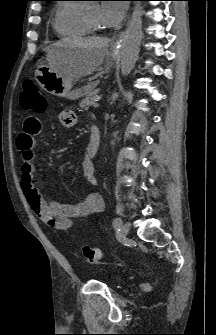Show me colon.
<instances>
[{"instance_id": "5ec220e1", "label": "colon", "mask_w": 216, "mask_h": 335, "mask_svg": "<svg viewBox=\"0 0 216 335\" xmlns=\"http://www.w3.org/2000/svg\"><path fill=\"white\" fill-rule=\"evenodd\" d=\"M21 104L24 109L34 113H43L47 108V100L38 84L33 80H26L23 85ZM82 254L90 264H96L101 259V251L98 248L83 246Z\"/></svg>"}]
</instances>
